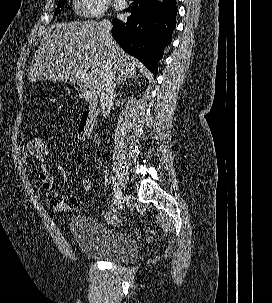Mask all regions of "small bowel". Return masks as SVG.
Returning a JSON list of instances; mask_svg holds the SVG:
<instances>
[{"instance_id":"c3829d8e","label":"small bowel","mask_w":272,"mask_h":303,"mask_svg":"<svg viewBox=\"0 0 272 303\" xmlns=\"http://www.w3.org/2000/svg\"><path fill=\"white\" fill-rule=\"evenodd\" d=\"M19 153H20V158L23 162L24 170L26 173H29L30 169L27 165V161L30 158H35L34 152L32 149V139L28 140V142L20 148ZM36 175L41 183L42 189L47 193L51 192V188L53 185V177H52L50 171L49 170L43 171V170L39 169L37 171Z\"/></svg>"}]
</instances>
